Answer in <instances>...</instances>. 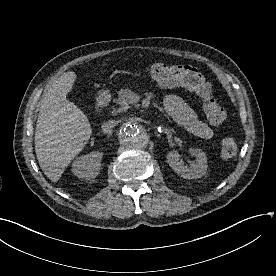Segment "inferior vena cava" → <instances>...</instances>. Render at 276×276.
Segmentation results:
<instances>
[{"mask_svg":"<svg viewBox=\"0 0 276 276\" xmlns=\"http://www.w3.org/2000/svg\"><path fill=\"white\" fill-rule=\"evenodd\" d=\"M117 124H118V121H116V120H109V121L105 122V123L102 125V130H103V132L108 133V132H110Z\"/></svg>","mask_w":276,"mask_h":276,"instance_id":"obj_1","label":"inferior vena cava"}]
</instances>
